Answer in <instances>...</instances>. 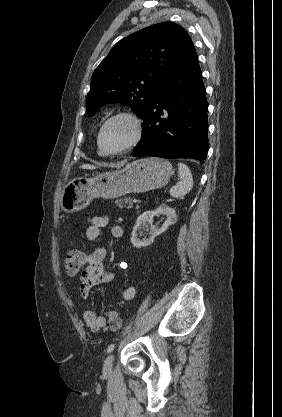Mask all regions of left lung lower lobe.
Listing matches in <instances>:
<instances>
[{"mask_svg":"<svg viewBox=\"0 0 282 417\" xmlns=\"http://www.w3.org/2000/svg\"><path fill=\"white\" fill-rule=\"evenodd\" d=\"M207 107L198 57L191 44L170 67L147 106L142 138L133 156L192 158L204 163Z\"/></svg>","mask_w":282,"mask_h":417,"instance_id":"1","label":"left lung lower lobe"}]
</instances>
